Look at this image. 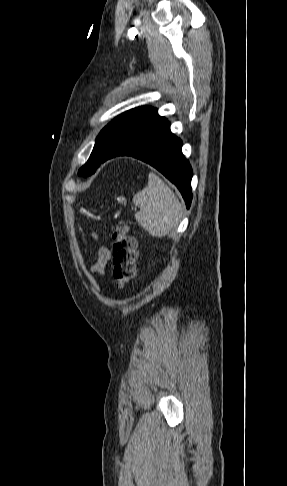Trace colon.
<instances>
[{"instance_id": "5ec220e1", "label": "colon", "mask_w": 287, "mask_h": 486, "mask_svg": "<svg viewBox=\"0 0 287 486\" xmlns=\"http://www.w3.org/2000/svg\"><path fill=\"white\" fill-rule=\"evenodd\" d=\"M113 279L122 287L135 276L137 258L136 239L128 233L126 225H116L112 232Z\"/></svg>"}]
</instances>
